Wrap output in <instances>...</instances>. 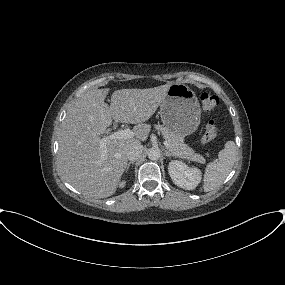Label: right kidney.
<instances>
[{
	"mask_svg": "<svg viewBox=\"0 0 285 285\" xmlns=\"http://www.w3.org/2000/svg\"><path fill=\"white\" fill-rule=\"evenodd\" d=\"M125 186V181L119 183V187L123 188Z\"/></svg>",
	"mask_w": 285,
	"mask_h": 285,
	"instance_id": "ca27d5eb",
	"label": "right kidney"
}]
</instances>
